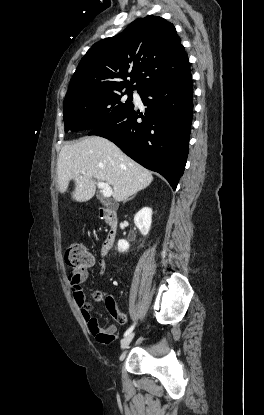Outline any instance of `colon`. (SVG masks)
<instances>
[{
  "label": "colon",
  "instance_id": "1",
  "mask_svg": "<svg viewBox=\"0 0 264 415\" xmlns=\"http://www.w3.org/2000/svg\"><path fill=\"white\" fill-rule=\"evenodd\" d=\"M93 262V258L88 249L83 247L78 243L71 244L65 254V265L70 270V272H75L79 268H87ZM100 298L98 292L92 294V299L94 301ZM110 302L109 311L114 319L117 321H123L124 314L120 311L112 302L111 299H106V303ZM87 313V312H86ZM88 314V313H87Z\"/></svg>",
  "mask_w": 264,
  "mask_h": 415
}]
</instances>
